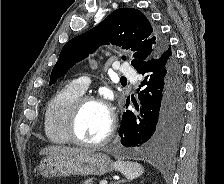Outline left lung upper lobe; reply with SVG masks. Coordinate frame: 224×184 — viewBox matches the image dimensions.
Segmentation results:
<instances>
[{
	"label": "left lung upper lobe",
	"instance_id": "left-lung-upper-lobe-1",
	"mask_svg": "<svg viewBox=\"0 0 224 184\" xmlns=\"http://www.w3.org/2000/svg\"><path fill=\"white\" fill-rule=\"evenodd\" d=\"M109 43L136 51V59L131 62L136 70L168 47L143 13L134 8H119L99 25L64 45L52 70L50 82H54L100 45ZM122 58L125 59L124 56Z\"/></svg>",
	"mask_w": 224,
	"mask_h": 184
}]
</instances>
